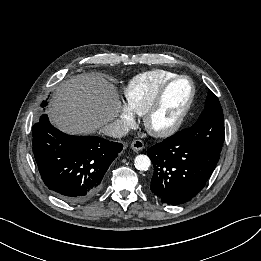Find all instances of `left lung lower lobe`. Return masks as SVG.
I'll return each instance as SVG.
<instances>
[{
    "label": "left lung lower lobe",
    "mask_w": 261,
    "mask_h": 261,
    "mask_svg": "<svg viewBox=\"0 0 261 261\" xmlns=\"http://www.w3.org/2000/svg\"><path fill=\"white\" fill-rule=\"evenodd\" d=\"M192 131L184 129L148 149L154 166L152 193L163 203L180 205L194 198L205 186L220 153L198 146Z\"/></svg>",
    "instance_id": "left-lung-lower-lobe-1"
}]
</instances>
